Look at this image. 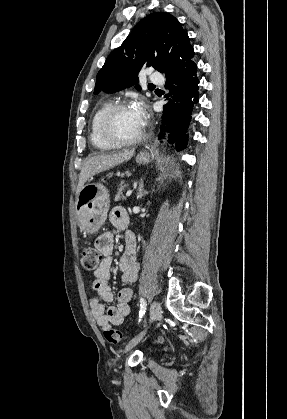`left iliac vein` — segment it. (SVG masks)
Listing matches in <instances>:
<instances>
[{
  "instance_id": "left-iliac-vein-1",
  "label": "left iliac vein",
  "mask_w": 287,
  "mask_h": 419,
  "mask_svg": "<svg viewBox=\"0 0 287 419\" xmlns=\"http://www.w3.org/2000/svg\"><path fill=\"white\" fill-rule=\"evenodd\" d=\"M161 316V305L159 302L157 301H153L150 307V323L158 320ZM146 330L142 331L139 335H137L136 337H134L126 346L125 348V352L131 350L133 347H135L140 340L143 338V336L145 335Z\"/></svg>"
}]
</instances>
